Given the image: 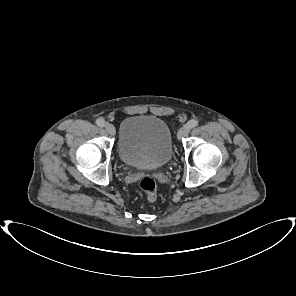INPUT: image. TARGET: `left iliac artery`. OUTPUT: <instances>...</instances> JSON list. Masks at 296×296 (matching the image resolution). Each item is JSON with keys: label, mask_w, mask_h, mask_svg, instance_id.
<instances>
[{"label": "left iliac artery", "mask_w": 296, "mask_h": 296, "mask_svg": "<svg viewBox=\"0 0 296 296\" xmlns=\"http://www.w3.org/2000/svg\"><path fill=\"white\" fill-rule=\"evenodd\" d=\"M187 125H188L190 128H194V127H196V126L198 125V121L195 120V119H192V120H190V121L187 123Z\"/></svg>", "instance_id": "obj_1"}]
</instances>
